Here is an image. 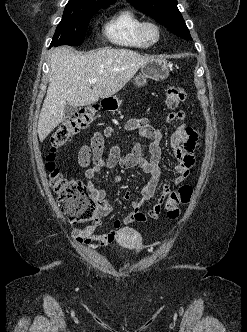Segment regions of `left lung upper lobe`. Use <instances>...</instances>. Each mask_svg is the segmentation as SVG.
Returning <instances> with one entry per match:
<instances>
[{"instance_id": "5c2ea615", "label": "left lung upper lobe", "mask_w": 247, "mask_h": 332, "mask_svg": "<svg viewBox=\"0 0 247 332\" xmlns=\"http://www.w3.org/2000/svg\"><path fill=\"white\" fill-rule=\"evenodd\" d=\"M136 9L151 16L173 34L192 40L185 21L177 8V0H128Z\"/></svg>"}]
</instances>
